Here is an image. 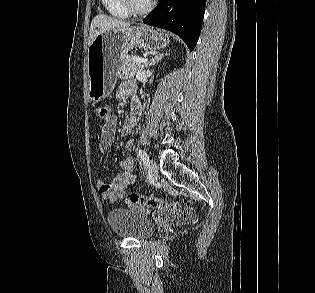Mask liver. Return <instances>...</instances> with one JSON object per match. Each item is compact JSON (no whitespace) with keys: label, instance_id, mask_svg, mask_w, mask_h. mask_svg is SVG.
Instances as JSON below:
<instances>
[{"label":"liver","instance_id":"1","mask_svg":"<svg viewBox=\"0 0 315 293\" xmlns=\"http://www.w3.org/2000/svg\"><path fill=\"white\" fill-rule=\"evenodd\" d=\"M130 26L131 24L125 21L116 19L114 17H109L104 14H99L95 16L91 22L88 44L90 45L95 39V37L101 32H107L112 29L128 28Z\"/></svg>","mask_w":315,"mask_h":293}]
</instances>
